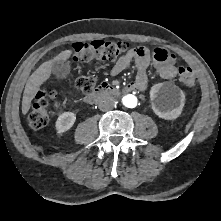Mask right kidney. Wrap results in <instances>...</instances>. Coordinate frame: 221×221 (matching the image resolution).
I'll return each mask as SVG.
<instances>
[{
    "mask_svg": "<svg viewBox=\"0 0 221 221\" xmlns=\"http://www.w3.org/2000/svg\"><path fill=\"white\" fill-rule=\"evenodd\" d=\"M76 121V115L73 112H64L57 118L56 130L61 134L69 130Z\"/></svg>",
    "mask_w": 221,
    "mask_h": 221,
    "instance_id": "obj_1",
    "label": "right kidney"
}]
</instances>
